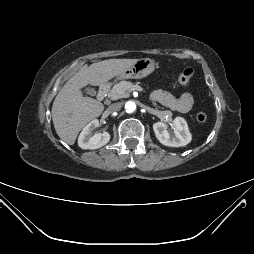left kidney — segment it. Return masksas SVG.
I'll return each mask as SVG.
<instances>
[{"label": "left kidney", "instance_id": "1", "mask_svg": "<svg viewBox=\"0 0 254 254\" xmlns=\"http://www.w3.org/2000/svg\"><path fill=\"white\" fill-rule=\"evenodd\" d=\"M172 125L174 126V131L169 132L165 123L156 122L153 124V130L159 142L169 147H182L189 144L192 136L185 119L176 117Z\"/></svg>", "mask_w": 254, "mask_h": 254}]
</instances>
